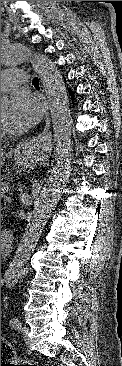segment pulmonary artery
<instances>
[{
	"label": "pulmonary artery",
	"mask_w": 122,
	"mask_h": 366,
	"mask_svg": "<svg viewBox=\"0 0 122 366\" xmlns=\"http://www.w3.org/2000/svg\"><path fill=\"white\" fill-rule=\"evenodd\" d=\"M27 75L21 70L5 69L1 71V92L23 86Z\"/></svg>",
	"instance_id": "1"
}]
</instances>
